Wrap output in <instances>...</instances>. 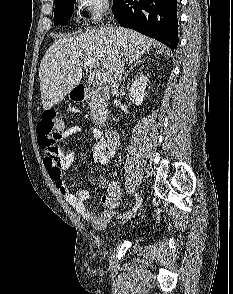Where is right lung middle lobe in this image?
Masks as SVG:
<instances>
[{
    "instance_id": "obj_1",
    "label": "right lung middle lobe",
    "mask_w": 233,
    "mask_h": 294,
    "mask_svg": "<svg viewBox=\"0 0 233 294\" xmlns=\"http://www.w3.org/2000/svg\"><path fill=\"white\" fill-rule=\"evenodd\" d=\"M76 0H55L54 25H65L71 17ZM115 1V0H113Z\"/></svg>"
}]
</instances>
